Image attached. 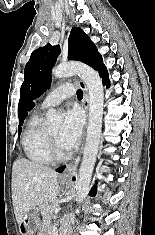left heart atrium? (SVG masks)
Here are the masks:
<instances>
[{
    "instance_id": "1",
    "label": "left heart atrium",
    "mask_w": 155,
    "mask_h": 235,
    "mask_svg": "<svg viewBox=\"0 0 155 235\" xmlns=\"http://www.w3.org/2000/svg\"><path fill=\"white\" fill-rule=\"evenodd\" d=\"M83 115L78 109L68 110L59 133V140L62 146L69 150L78 143L83 127Z\"/></svg>"
}]
</instances>
